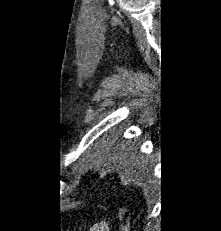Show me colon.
I'll return each mask as SVG.
<instances>
[{
	"label": "colon",
	"mask_w": 221,
	"mask_h": 231,
	"mask_svg": "<svg viewBox=\"0 0 221 231\" xmlns=\"http://www.w3.org/2000/svg\"><path fill=\"white\" fill-rule=\"evenodd\" d=\"M118 217H119L122 231H128L129 222H130L129 211L126 208L121 207L118 212Z\"/></svg>",
	"instance_id": "colon-1"
}]
</instances>
